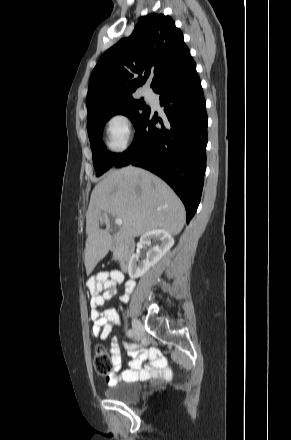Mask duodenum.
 Masks as SVG:
<instances>
[{"instance_id":"1","label":"duodenum","mask_w":291,"mask_h":440,"mask_svg":"<svg viewBox=\"0 0 291 440\" xmlns=\"http://www.w3.org/2000/svg\"><path fill=\"white\" fill-rule=\"evenodd\" d=\"M108 240L111 243V248H119V264L123 270L129 268L132 263L135 243L132 239L121 237L117 234H111L108 236Z\"/></svg>"}]
</instances>
